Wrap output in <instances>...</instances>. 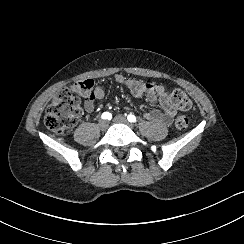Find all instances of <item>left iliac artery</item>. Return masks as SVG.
<instances>
[{"label":"left iliac artery","mask_w":244,"mask_h":244,"mask_svg":"<svg viewBox=\"0 0 244 244\" xmlns=\"http://www.w3.org/2000/svg\"><path fill=\"white\" fill-rule=\"evenodd\" d=\"M127 119L129 122H136V117L133 114H129Z\"/></svg>","instance_id":"44dca946"}]
</instances>
